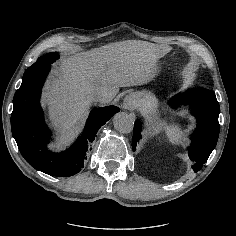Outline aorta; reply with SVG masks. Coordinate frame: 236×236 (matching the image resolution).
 Segmentation results:
<instances>
[{"label": "aorta", "mask_w": 236, "mask_h": 236, "mask_svg": "<svg viewBox=\"0 0 236 236\" xmlns=\"http://www.w3.org/2000/svg\"><path fill=\"white\" fill-rule=\"evenodd\" d=\"M135 118L125 112H119L113 117L114 128L122 133H130L133 130Z\"/></svg>", "instance_id": "aorta-1"}]
</instances>
